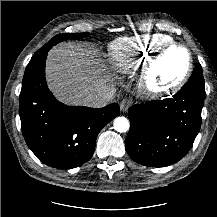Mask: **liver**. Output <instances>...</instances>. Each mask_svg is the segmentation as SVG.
<instances>
[{
    "mask_svg": "<svg viewBox=\"0 0 217 217\" xmlns=\"http://www.w3.org/2000/svg\"><path fill=\"white\" fill-rule=\"evenodd\" d=\"M79 43H61L48 52L46 79L62 102L85 105L84 98L99 88H113V74L96 58V51Z\"/></svg>",
    "mask_w": 217,
    "mask_h": 217,
    "instance_id": "obj_1",
    "label": "liver"
}]
</instances>
